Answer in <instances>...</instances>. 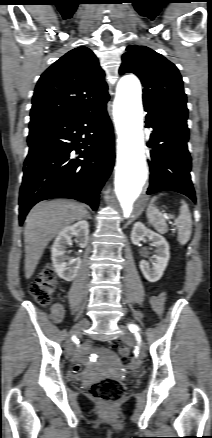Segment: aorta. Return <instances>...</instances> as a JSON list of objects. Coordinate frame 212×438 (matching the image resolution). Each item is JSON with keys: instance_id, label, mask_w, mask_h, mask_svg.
I'll use <instances>...</instances> for the list:
<instances>
[{"instance_id": "obj_1", "label": "aorta", "mask_w": 212, "mask_h": 438, "mask_svg": "<svg viewBox=\"0 0 212 438\" xmlns=\"http://www.w3.org/2000/svg\"><path fill=\"white\" fill-rule=\"evenodd\" d=\"M141 85L134 76L123 77L114 101V122L118 133L115 192L124 217L133 213L134 202L147 179L144 153Z\"/></svg>"}]
</instances>
